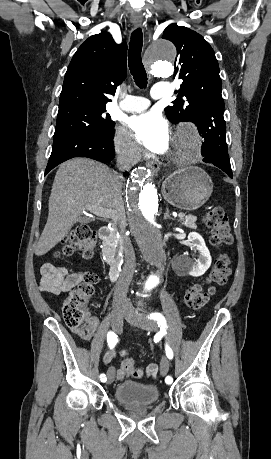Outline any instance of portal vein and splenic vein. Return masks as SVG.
<instances>
[{"label":"portal vein and splenic vein","instance_id":"18ae733b","mask_svg":"<svg viewBox=\"0 0 271 459\" xmlns=\"http://www.w3.org/2000/svg\"><path fill=\"white\" fill-rule=\"evenodd\" d=\"M91 212L95 214V216H101V218H109L111 214V210H106V208H93ZM83 214H86V212H83ZM178 217H184V214L179 212Z\"/></svg>","mask_w":271,"mask_h":459}]
</instances>
